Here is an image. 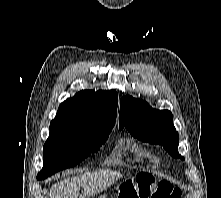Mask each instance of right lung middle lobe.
<instances>
[{
    "instance_id": "right-lung-middle-lobe-1",
    "label": "right lung middle lobe",
    "mask_w": 221,
    "mask_h": 198,
    "mask_svg": "<svg viewBox=\"0 0 221 198\" xmlns=\"http://www.w3.org/2000/svg\"><path fill=\"white\" fill-rule=\"evenodd\" d=\"M111 130L112 128H102L88 134L50 133L43 147V168L37 179H45L57 171L82 162L100 149Z\"/></svg>"
}]
</instances>
